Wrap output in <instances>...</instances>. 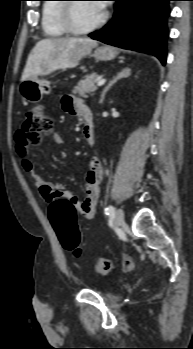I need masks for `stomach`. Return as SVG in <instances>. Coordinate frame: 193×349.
Wrapping results in <instances>:
<instances>
[{"instance_id": "0dacf381", "label": "stomach", "mask_w": 193, "mask_h": 349, "mask_svg": "<svg viewBox=\"0 0 193 349\" xmlns=\"http://www.w3.org/2000/svg\"><path fill=\"white\" fill-rule=\"evenodd\" d=\"M118 50L111 46H102L97 48L93 57L99 61H110L117 57ZM19 91L23 100L30 103H38L43 96L51 91L50 82L43 78L42 75L29 77L21 81Z\"/></svg>"}]
</instances>
